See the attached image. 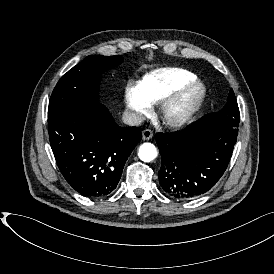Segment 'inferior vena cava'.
I'll return each mask as SVG.
<instances>
[{
	"instance_id": "602c4592",
	"label": "inferior vena cava",
	"mask_w": 274,
	"mask_h": 274,
	"mask_svg": "<svg viewBox=\"0 0 274 274\" xmlns=\"http://www.w3.org/2000/svg\"><path fill=\"white\" fill-rule=\"evenodd\" d=\"M144 116L140 113L125 110L122 114L123 123L129 126H138L144 121Z\"/></svg>"
}]
</instances>
